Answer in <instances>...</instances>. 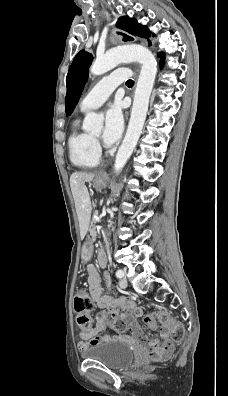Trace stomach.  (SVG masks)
<instances>
[{
    "label": "stomach",
    "mask_w": 228,
    "mask_h": 396,
    "mask_svg": "<svg viewBox=\"0 0 228 396\" xmlns=\"http://www.w3.org/2000/svg\"><path fill=\"white\" fill-rule=\"evenodd\" d=\"M107 184V177L99 176L94 180V187L97 190H101L102 188L106 187ZM93 252V240L91 238H87L82 245L81 254L83 260H89L92 256Z\"/></svg>",
    "instance_id": "stomach-1"
}]
</instances>
